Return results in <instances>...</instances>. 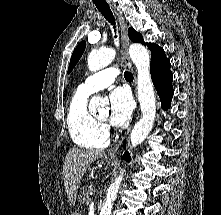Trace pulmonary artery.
<instances>
[{
  "mask_svg": "<svg viewBox=\"0 0 221 215\" xmlns=\"http://www.w3.org/2000/svg\"><path fill=\"white\" fill-rule=\"evenodd\" d=\"M121 73L119 68L110 67L89 76L78 89L84 93H94L111 85Z\"/></svg>",
  "mask_w": 221,
  "mask_h": 215,
  "instance_id": "obj_1",
  "label": "pulmonary artery"
}]
</instances>
